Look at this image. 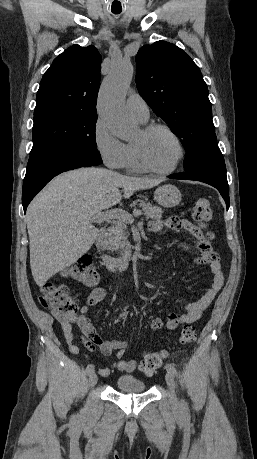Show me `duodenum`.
<instances>
[{
	"instance_id": "1",
	"label": "duodenum",
	"mask_w": 257,
	"mask_h": 459,
	"mask_svg": "<svg viewBox=\"0 0 257 459\" xmlns=\"http://www.w3.org/2000/svg\"><path fill=\"white\" fill-rule=\"evenodd\" d=\"M106 235V229H101L96 237L95 240V247L100 250L102 247L103 240ZM131 260H132V254L129 251H126L122 255L118 257H112L108 255H102L101 256V261L103 265L109 269H116V268H121V269H127L131 265Z\"/></svg>"
}]
</instances>
